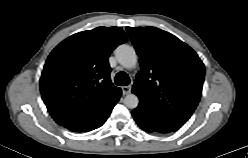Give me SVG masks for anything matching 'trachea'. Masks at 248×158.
Masks as SVG:
<instances>
[{
  "label": "trachea",
  "instance_id": "trachea-1",
  "mask_svg": "<svg viewBox=\"0 0 248 158\" xmlns=\"http://www.w3.org/2000/svg\"><path fill=\"white\" fill-rule=\"evenodd\" d=\"M115 83L119 86H127L130 83L128 74L123 71H120L115 76Z\"/></svg>",
  "mask_w": 248,
  "mask_h": 158
}]
</instances>
